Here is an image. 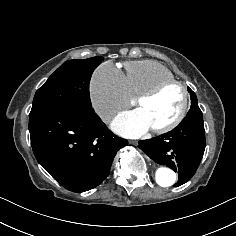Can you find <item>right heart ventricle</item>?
Returning a JSON list of instances; mask_svg holds the SVG:
<instances>
[{
  "mask_svg": "<svg viewBox=\"0 0 236 236\" xmlns=\"http://www.w3.org/2000/svg\"><path fill=\"white\" fill-rule=\"evenodd\" d=\"M129 94L139 96L156 84L174 80V73L164 64L153 60H132L123 64Z\"/></svg>",
  "mask_w": 236,
  "mask_h": 236,
  "instance_id": "e07e8e85",
  "label": "right heart ventricle"
}]
</instances>
